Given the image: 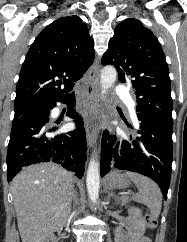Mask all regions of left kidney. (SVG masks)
I'll use <instances>...</instances> for the list:
<instances>
[{"label": "left kidney", "mask_w": 187, "mask_h": 242, "mask_svg": "<svg viewBox=\"0 0 187 242\" xmlns=\"http://www.w3.org/2000/svg\"><path fill=\"white\" fill-rule=\"evenodd\" d=\"M128 215L125 223L115 230V242H139L145 233V221L141 210L137 207H130Z\"/></svg>", "instance_id": "left-kidney-1"}]
</instances>
